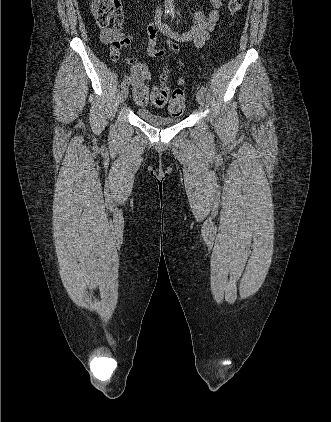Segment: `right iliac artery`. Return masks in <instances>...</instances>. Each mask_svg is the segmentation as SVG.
I'll return each mask as SVG.
<instances>
[{
    "instance_id": "obj_1",
    "label": "right iliac artery",
    "mask_w": 331,
    "mask_h": 422,
    "mask_svg": "<svg viewBox=\"0 0 331 422\" xmlns=\"http://www.w3.org/2000/svg\"><path fill=\"white\" fill-rule=\"evenodd\" d=\"M167 17V13H165V15H164V19ZM126 86V82L125 81H123L122 83H121V88H124Z\"/></svg>"
}]
</instances>
